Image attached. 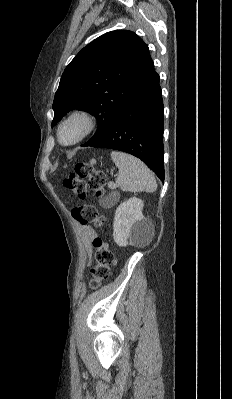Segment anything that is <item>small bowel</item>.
Wrapping results in <instances>:
<instances>
[{"label": "small bowel", "instance_id": "c3829d8e", "mask_svg": "<svg viewBox=\"0 0 232 399\" xmlns=\"http://www.w3.org/2000/svg\"><path fill=\"white\" fill-rule=\"evenodd\" d=\"M79 233L83 248L88 254V257H90L92 251V241L95 238L96 234L94 230L89 226H80Z\"/></svg>", "mask_w": 232, "mask_h": 399}]
</instances>
